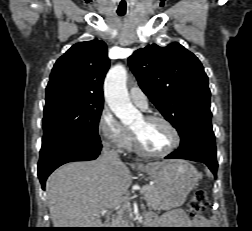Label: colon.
<instances>
[{
	"label": "colon",
	"mask_w": 252,
	"mask_h": 231,
	"mask_svg": "<svg viewBox=\"0 0 252 231\" xmlns=\"http://www.w3.org/2000/svg\"><path fill=\"white\" fill-rule=\"evenodd\" d=\"M208 202V192L205 189H198L189 201L188 211L194 216L201 214L207 209Z\"/></svg>",
	"instance_id": "1"
}]
</instances>
